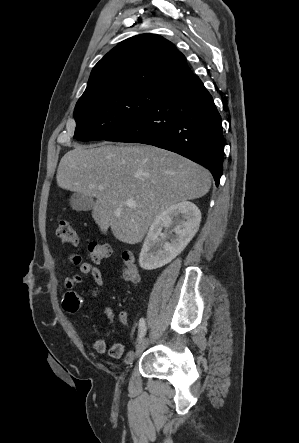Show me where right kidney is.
I'll use <instances>...</instances> for the list:
<instances>
[{"instance_id": "right-kidney-1", "label": "right kidney", "mask_w": 299, "mask_h": 443, "mask_svg": "<svg viewBox=\"0 0 299 443\" xmlns=\"http://www.w3.org/2000/svg\"><path fill=\"white\" fill-rule=\"evenodd\" d=\"M201 213L188 201L166 208L151 224L144 240L139 264L145 270H154L171 262L188 245L199 229ZM163 228L176 235L170 242L160 240Z\"/></svg>"}]
</instances>
